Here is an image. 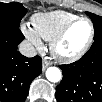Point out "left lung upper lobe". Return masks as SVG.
I'll use <instances>...</instances> for the list:
<instances>
[{"instance_id":"1","label":"left lung upper lobe","mask_w":102,"mask_h":102,"mask_svg":"<svg viewBox=\"0 0 102 102\" xmlns=\"http://www.w3.org/2000/svg\"><path fill=\"white\" fill-rule=\"evenodd\" d=\"M86 14L90 16L94 24V39H102V17L90 12H86Z\"/></svg>"}]
</instances>
